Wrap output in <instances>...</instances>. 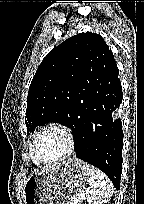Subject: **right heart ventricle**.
<instances>
[{
    "label": "right heart ventricle",
    "instance_id": "1",
    "mask_svg": "<svg viewBox=\"0 0 144 204\" xmlns=\"http://www.w3.org/2000/svg\"><path fill=\"white\" fill-rule=\"evenodd\" d=\"M32 161H33L35 164H37V163L33 160V158H32Z\"/></svg>",
    "mask_w": 144,
    "mask_h": 204
}]
</instances>
